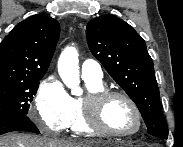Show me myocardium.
Wrapping results in <instances>:
<instances>
[{"label": "myocardium", "mask_w": 183, "mask_h": 147, "mask_svg": "<svg viewBox=\"0 0 183 147\" xmlns=\"http://www.w3.org/2000/svg\"><path fill=\"white\" fill-rule=\"evenodd\" d=\"M113 97H120L124 99L134 111L137 118L138 126L133 132L122 133L109 128L102 115V109L106 101ZM85 117L88 125L98 134H105L108 136L119 138H132L139 135L143 129V117L136 102L126 93L116 90L103 89L88 94L84 100Z\"/></svg>", "instance_id": "f54148a6"}]
</instances>
